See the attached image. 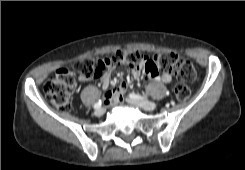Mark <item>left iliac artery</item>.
Wrapping results in <instances>:
<instances>
[{
    "mask_svg": "<svg viewBox=\"0 0 245 170\" xmlns=\"http://www.w3.org/2000/svg\"><path fill=\"white\" fill-rule=\"evenodd\" d=\"M130 98L133 99V100H141L146 106L148 107H151L153 106L149 101L147 100H144L141 96L135 94V93H131L130 95ZM153 109V108H152Z\"/></svg>",
    "mask_w": 245,
    "mask_h": 170,
    "instance_id": "44dca946",
    "label": "left iliac artery"
}]
</instances>
